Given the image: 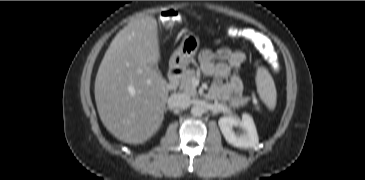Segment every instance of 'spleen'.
I'll list each match as a JSON object with an SVG mask.
<instances>
[{"mask_svg":"<svg viewBox=\"0 0 365 180\" xmlns=\"http://www.w3.org/2000/svg\"><path fill=\"white\" fill-rule=\"evenodd\" d=\"M256 85L261 100L273 110L276 106V88L272 76L265 67H257Z\"/></svg>","mask_w":365,"mask_h":180,"instance_id":"1","label":"spleen"}]
</instances>
